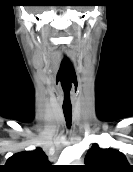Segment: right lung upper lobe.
Instances as JSON below:
<instances>
[{
    "instance_id": "cb5924a9",
    "label": "right lung upper lobe",
    "mask_w": 133,
    "mask_h": 172,
    "mask_svg": "<svg viewBox=\"0 0 133 172\" xmlns=\"http://www.w3.org/2000/svg\"><path fill=\"white\" fill-rule=\"evenodd\" d=\"M49 169L48 157L41 148L16 153L0 167L1 172H48Z\"/></svg>"
}]
</instances>
